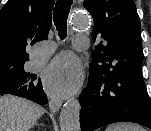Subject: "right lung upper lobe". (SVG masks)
I'll list each match as a JSON object with an SVG mask.
<instances>
[{
    "label": "right lung upper lobe",
    "instance_id": "obj_1",
    "mask_svg": "<svg viewBox=\"0 0 151 131\" xmlns=\"http://www.w3.org/2000/svg\"><path fill=\"white\" fill-rule=\"evenodd\" d=\"M54 0H9L0 11V67L29 60L26 47L48 38Z\"/></svg>",
    "mask_w": 151,
    "mask_h": 131
}]
</instances>
